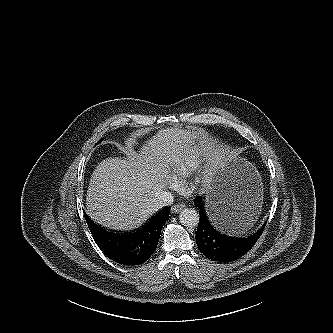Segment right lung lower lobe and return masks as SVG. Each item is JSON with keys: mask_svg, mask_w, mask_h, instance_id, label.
<instances>
[{"mask_svg": "<svg viewBox=\"0 0 333 333\" xmlns=\"http://www.w3.org/2000/svg\"><path fill=\"white\" fill-rule=\"evenodd\" d=\"M170 207H165L141 229L131 233L109 232L94 223L84 212L86 222L99 248L111 260L125 266L146 262L155 251L160 232L169 219Z\"/></svg>", "mask_w": 333, "mask_h": 333, "instance_id": "right-lung-lower-lobe-1", "label": "right lung lower lobe"}]
</instances>
